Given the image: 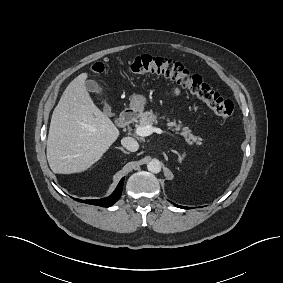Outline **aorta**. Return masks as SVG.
Here are the masks:
<instances>
[{"label": "aorta", "instance_id": "obj_1", "mask_svg": "<svg viewBox=\"0 0 283 283\" xmlns=\"http://www.w3.org/2000/svg\"><path fill=\"white\" fill-rule=\"evenodd\" d=\"M147 169L148 171L152 173H159L161 171V164L160 161L157 159H152L148 164H147Z\"/></svg>", "mask_w": 283, "mask_h": 283}]
</instances>
